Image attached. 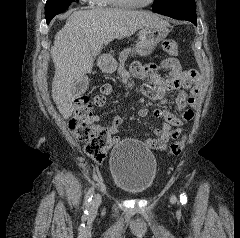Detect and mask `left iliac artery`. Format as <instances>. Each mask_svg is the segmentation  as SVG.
<instances>
[{
    "instance_id": "obj_1",
    "label": "left iliac artery",
    "mask_w": 240,
    "mask_h": 238,
    "mask_svg": "<svg viewBox=\"0 0 240 238\" xmlns=\"http://www.w3.org/2000/svg\"><path fill=\"white\" fill-rule=\"evenodd\" d=\"M180 197H181V203H182V204H185V203L187 202V198H186L185 193L181 194Z\"/></svg>"
}]
</instances>
